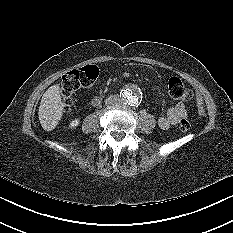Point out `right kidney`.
Returning a JSON list of instances; mask_svg holds the SVG:
<instances>
[{
    "instance_id": "obj_1",
    "label": "right kidney",
    "mask_w": 233,
    "mask_h": 233,
    "mask_svg": "<svg viewBox=\"0 0 233 233\" xmlns=\"http://www.w3.org/2000/svg\"><path fill=\"white\" fill-rule=\"evenodd\" d=\"M79 124H80V120L78 118H76V119L71 121L70 127L71 128H76L77 126H79Z\"/></svg>"
}]
</instances>
